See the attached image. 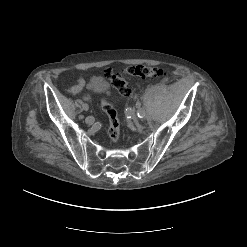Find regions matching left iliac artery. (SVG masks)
Instances as JSON below:
<instances>
[{
	"label": "left iliac artery",
	"instance_id": "left-iliac-artery-1",
	"mask_svg": "<svg viewBox=\"0 0 247 247\" xmlns=\"http://www.w3.org/2000/svg\"><path fill=\"white\" fill-rule=\"evenodd\" d=\"M140 106L137 107L138 108L137 115L139 118H143L145 116V111L142 108H140Z\"/></svg>",
	"mask_w": 247,
	"mask_h": 247
}]
</instances>
